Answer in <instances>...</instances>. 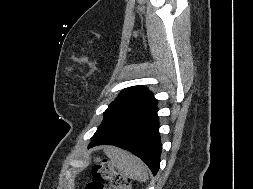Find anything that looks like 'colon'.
Returning <instances> with one entry per match:
<instances>
[{"instance_id":"obj_1","label":"colon","mask_w":253,"mask_h":189,"mask_svg":"<svg viewBox=\"0 0 253 189\" xmlns=\"http://www.w3.org/2000/svg\"><path fill=\"white\" fill-rule=\"evenodd\" d=\"M93 180L85 189H131V180L116 170L106 159H98L92 167Z\"/></svg>"}]
</instances>
